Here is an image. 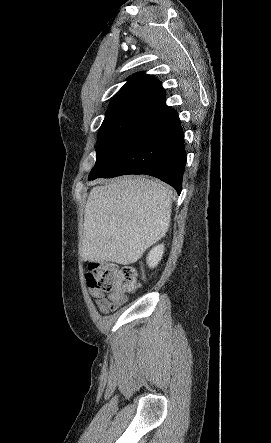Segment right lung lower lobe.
<instances>
[{
    "label": "right lung lower lobe",
    "mask_w": 271,
    "mask_h": 443,
    "mask_svg": "<svg viewBox=\"0 0 271 443\" xmlns=\"http://www.w3.org/2000/svg\"><path fill=\"white\" fill-rule=\"evenodd\" d=\"M186 165L178 114L164 103L146 112L125 136L110 162L88 180L127 174L151 175L182 190Z\"/></svg>",
    "instance_id": "obj_1"
}]
</instances>
